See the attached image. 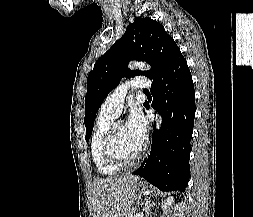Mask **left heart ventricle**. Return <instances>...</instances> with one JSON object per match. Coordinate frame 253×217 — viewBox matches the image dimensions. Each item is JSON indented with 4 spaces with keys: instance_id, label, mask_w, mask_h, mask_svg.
I'll list each match as a JSON object with an SVG mask.
<instances>
[{
    "instance_id": "left-heart-ventricle-1",
    "label": "left heart ventricle",
    "mask_w": 253,
    "mask_h": 217,
    "mask_svg": "<svg viewBox=\"0 0 253 217\" xmlns=\"http://www.w3.org/2000/svg\"><path fill=\"white\" fill-rule=\"evenodd\" d=\"M143 141L135 136L125 124H120L117 130L115 148L124 159H132L141 149Z\"/></svg>"
}]
</instances>
